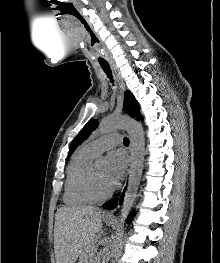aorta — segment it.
Returning <instances> with one entry per match:
<instances>
[{
    "label": "aorta",
    "instance_id": "aorta-1",
    "mask_svg": "<svg viewBox=\"0 0 220 263\" xmlns=\"http://www.w3.org/2000/svg\"><path fill=\"white\" fill-rule=\"evenodd\" d=\"M102 132H109L116 129H125L130 137L131 145V165L129 170L128 186L125 192L124 201L121 208L120 220L117 226V233L122 230L124 222L130 213L137 196L145 155V137L141 125L133 119L123 116H112L104 118L99 125ZM98 161H104L100 157ZM118 238L115 237L111 244V257L117 251Z\"/></svg>",
    "mask_w": 220,
    "mask_h": 263
}]
</instances>
